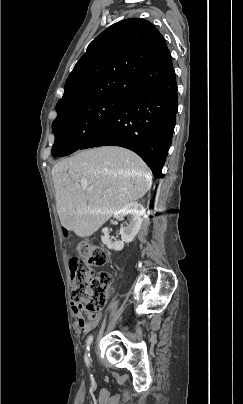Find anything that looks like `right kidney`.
<instances>
[{
  "instance_id": "obj_1",
  "label": "right kidney",
  "mask_w": 243,
  "mask_h": 404,
  "mask_svg": "<svg viewBox=\"0 0 243 404\" xmlns=\"http://www.w3.org/2000/svg\"><path fill=\"white\" fill-rule=\"evenodd\" d=\"M145 210L139 202H130V204H126L124 208L121 210H117L114 212V218L116 220H122L124 216H128L129 224L127 226H121L120 234L122 242H112L110 240L108 228H103L101 236V240L109 250H116V252H120L123 250L124 244H128V242H133L135 236H137L143 222V214Z\"/></svg>"
}]
</instances>
